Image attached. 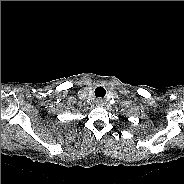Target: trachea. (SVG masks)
<instances>
[{"instance_id":"3493384b","label":"trachea","mask_w":184,"mask_h":184,"mask_svg":"<svg viewBox=\"0 0 184 184\" xmlns=\"http://www.w3.org/2000/svg\"><path fill=\"white\" fill-rule=\"evenodd\" d=\"M106 94V90L103 86H98L96 89H95V96L97 98H103Z\"/></svg>"}]
</instances>
